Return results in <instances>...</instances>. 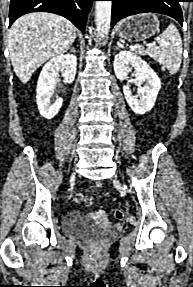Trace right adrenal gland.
<instances>
[{"instance_id":"obj_1","label":"right adrenal gland","mask_w":193,"mask_h":287,"mask_svg":"<svg viewBox=\"0 0 193 287\" xmlns=\"http://www.w3.org/2000/svg\"><path fill=\"white\" fill-rule=\"evenodd\" d=\"M71 52H75V49H74V47L73 46H71Z\"/></svg>"}]
</instances>
